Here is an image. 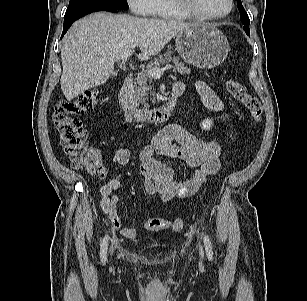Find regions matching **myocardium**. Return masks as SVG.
Wrapping results in <instances>:
<instances>
[{
    "label": "myocardium",
    "instance_id": "obj_1",
    "mask_svg": "<svg viewBox=\"0 0 307 301\" xmlns=\"http://www.w3.org/2000/svg\"><path fill=\"white\" fill-rule=\"evenodd\" d=\"M174 6L184 13L185 15L189 16L190 18L198 19V20H219L227 17L234 9L235 0H229L230 6L229 9L222 13V14H207L204 12L199 11L197 8L194 7L192 0H171Z\"/></svg>",
    "mask_w": 307,
    "mask_h": 301
}]
</instances>
